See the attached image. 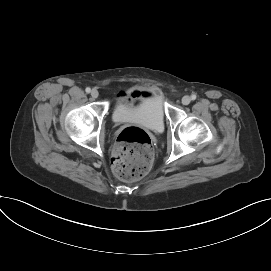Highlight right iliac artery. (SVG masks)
<instances>
[{
	"mask_svg": "<svg viewBox=\"0 0 271 271\" xmlns=\"http://www.w3.org/2000/svg\"><path fill=\"white\" fill-rule=\"evenodd\" d=\"M85 91H86L87 93H90V92H91V89H90L89 87H87V88L85 89Z\"/></svg>",
	"mask_w": 271,
	"mask_h": 271,
	"instance_id": "right-iliac-artery-1",
	"label": "right iliac artery"
}]
</instances>
